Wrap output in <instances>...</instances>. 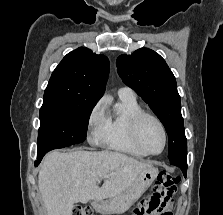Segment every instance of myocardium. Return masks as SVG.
<instances>
[{
    "label": "myocardium",
    "mask_w": 223,
    "mask_h": 215,
    "mask_svg": "<svg viewBox=\"0 0 223 215\" xmlns=\"http://www.w3.org/2000/svg\"><path fill=\"white\" fill-rule=\"evenodd\" d=\"M144 119H151L153 120L159 127L160 131H161V134H162V146H161V149L158 151V152H154V153H150V152H145V151H142L141 148H140V144H139V128H140V125L142 123V121ZM131 136H132V140H133V143L134 145L137 147V149L139 150V152L141 153L142 156H158L160 155L165 146H166V130L162 124V122L154 115L148 113V112H145V111H142L140 113H138L133 121H132V125H131Z\"/></svg>",
    "instance_id": "myocardium-1"
}]
</instances>
